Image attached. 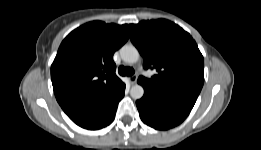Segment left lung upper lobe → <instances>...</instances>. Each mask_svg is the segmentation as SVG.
I'll list each match as a JSON object with an SVG mask.
<instances>
[{"instance_id": "5c2ea615", "label": "left lung upper lobe", "mask_w": 261, "mask_h": 150, "mask_svg": "<svg viewBox=\"0 0 261 150\" xmlns=\"http://www.w3.org/2000/svg\"><path fill=\"white\" fill-rule=\"evenodd\" d=\"M130 39L144 59V68L157 75L139 77L143 87L196 100L204 83V59L188 32L165 20L131 24Z\"/></svg>"}]
</instances>
